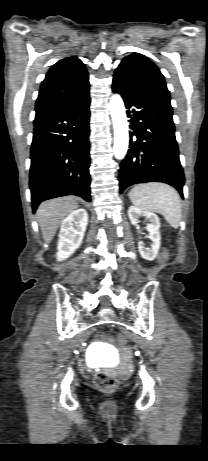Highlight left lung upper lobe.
Segmentation results:
<instances>
[{
    "label": "left lung upper lobe",
    "mask_w": 208,
    "mask_h": 461,
    "mask_svg": "<svg viewBox=\"0 0 208 461\" xmlns=\"http://www.w3.org/2000/svg\"><path fill=\"white\" fill-rule=\"evenodd\" d=\"M127 83L170 97L165 80L158 67L147 57L139 53L126 56L115 71Z\"/></svg>",
    "instance_id": "1"
}]
</instances>
